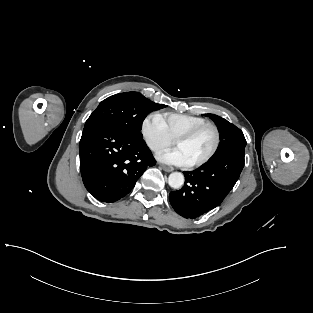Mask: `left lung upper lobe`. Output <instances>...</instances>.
<instances>
[{
    "instance_id": "1",
    "label": "left lung upper lobe",
    "mask_w": 313,
    "mask_h": 313,
    "mask_svg": "<svg viewBox=\"0 0 313 313\" xmlns=\"http://www.w3.org/2000/svg\"><path fill=\"white\" fill-rule=\"evenodd\" d=\"M211 118L218 126L220 132V144L213 157L234 149H245L246 140L243 132L226 119L214 114H204Z\"/></svg>"
}]
</instances>
